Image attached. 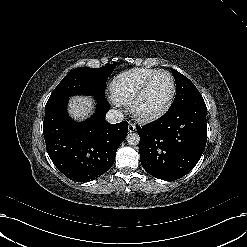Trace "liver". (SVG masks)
Here are the masks:
<instances>
[{
  "label": "liver",
  "mask_w": 247,
  "mask_h": 247,
  "mask_svg": "<svg viewBox=\"0 0 247 247\" xmlns=\"http://www.w3.org/2000/svg\"><path fill=\"white\" fill-rule=\"evenodd\" d=\"M93 112V101L88 96H75L68 105L69 115L77 121L86 119Z\"/></svg>",
  "instance_id": "obj_1"
}]
</instances>
